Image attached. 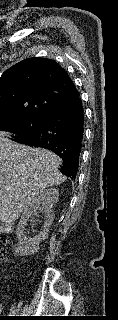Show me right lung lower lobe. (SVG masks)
I'll list each match as a JSON object with an SVG mask.
<instances>
[{
    "label": "right lung lower lobe",
    "instance_id": "98d812e1",
    "mask_svg": "<svg viewBox=\"0 0 118 320\" xmlns=\"http://www.w3.org/2000/svg\"><path fill=\"white\" fill-rule=\"evenodd\" d=\"M84 109L80 96L53 108L37 132L15 142L42 147L56 153L63 164L60 171L76 178L84 131Z\"/></svg>",
    "mask_w": 118,
    "mask_h": 320
}]
</instances>
